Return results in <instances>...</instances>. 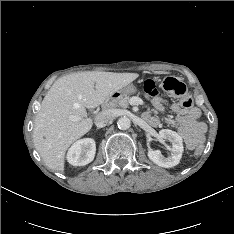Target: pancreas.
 <instances>
[{"label":"pancreas","instance_id":"pancreas-1","mask_svg":"<svg viewBox=\"0 0 234 234\" xmlns=\"http://www.w3.org/2000/svg\"><path fill=\"white\" fill-rule=\"evenodd\" d=\"M130 97L125 95L121 97L117 102H109L106 104V108L114 109L117 107L128 108Z\"/></svg>","mask_w":234,"mask_h":234}]
</instances>
